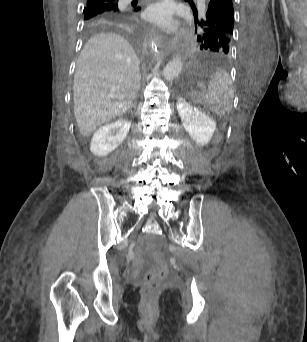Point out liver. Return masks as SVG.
<instances>
[{"label": "liver", "instance_id": "1", "mask_svg": "<svg viewBox=\"0 0 307 342\" xmlns=\"http://www.w3.org/2000/svg\"><path fill=\"white\" fill-rule=\"evenodd\" d=\"M139 64L118 34H96L85 44L73 86L75 120L84 138L131 108L140 88Z\"/></svg>", "mask_w": 307, "mask_h": 342}]
</instances>
